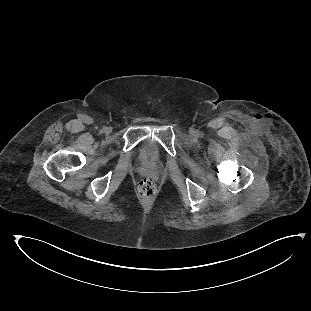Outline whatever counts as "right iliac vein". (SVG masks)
<instances>
[{
  "mask_svg": "<svg viewBox=\"0 0 311 311\" xmlns=\"http://www.w3.org/2000/svg\"><path fill=\"white\" fill-rule=\"evenodd\" d=\"M105 131L107 132V133H109L110 132V130L107 128V129H105Z\"/></svg>",
  "mask_w": 311,
  "mask_h": 311,
  "instance_id": "right-iliac-vein-1",
  "label": "right iliac vein"
}]
</instances>
